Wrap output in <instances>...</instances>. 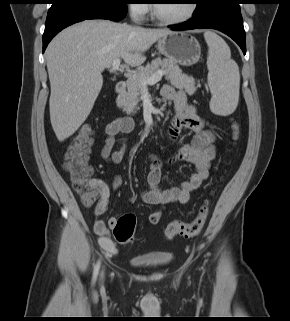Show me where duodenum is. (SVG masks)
Returning a JSON list of instances; mask_svg holds the SVG:
<instances>
[{"mask_svg": "<svg viewBox=\"0 0 290 321\" xmlns=\"http://www.w3.org/2000/svg\"><path fill=\"white\" fill-rule=\"evenodd\" d=\"M126 83L124 81H119L115 85V93L116 95H122L125 92Z\"/></svg>", "mask_w": 290, "mask_h": 321, "instance_id": "duodenum-1", "label": "duodenum"}]
</instances>
